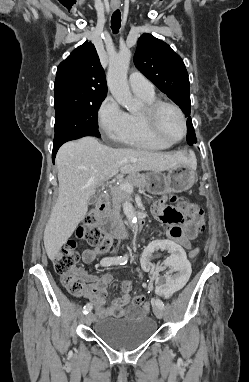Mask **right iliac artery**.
<instances>
[{
	"label": "right iliac artery",
	"mask_w": 249,
	"mask_h": 382,
	"mask_svg": "<svg viewBox=\"0 0 249 382\" xmlns=\"http://www.w3.org/2000/svg\"><path fill=\"white\" fill-rule=\"evenodd\" d=\"M128 256L127 254L124 256H119V257H105L100 261V264L102 266H110V265H124L127 263ZM92 310V304L87 303L83 307V313L88 314Z\"/></svg>",
	"instance_id": "right-iliac-artery-1"
}]
</instances>
